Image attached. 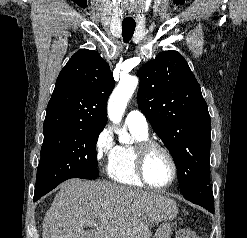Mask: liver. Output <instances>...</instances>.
Returning <instances> with one entry per match:
<instances>
[{"instance_id":"obj_1","label":"liver","mask_w":247,"mask_h":238,"mask_svg":"<svg viewBox=\"0 0 247 238\" xmlns=\"http://www.w3.org/2000/svg\"><path fill=\"white\" fill-rule=\"evenodd\" d=\"M177 214L176 202L160 193L70 179L44 216L42 238H149L150 225Z\"/></svg>"}]
</instances>
